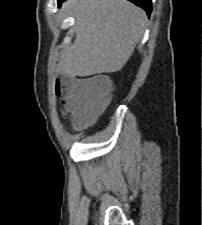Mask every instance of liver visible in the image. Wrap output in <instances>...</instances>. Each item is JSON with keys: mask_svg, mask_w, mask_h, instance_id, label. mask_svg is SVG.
<instances>
[{"mask_svg": "<svg viewBox=\"0 0 202 225\" xmlns=\"http://www.w3.org/2000/svg\"><path fill=\"white\" fill-rule=\"evenodd\" d=\"M75 40L62 56L69 77L119 71L131 57L147 22L143 9L127 0H70Z\"/></svg>", "mask_w": 202, "mask_h": 225, "instance_id": "1", "label": "liver"}]
</instances>
